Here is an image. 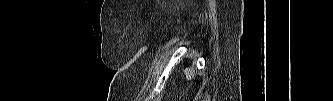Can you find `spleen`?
<instances>
[{"label": "spleen", "mask_w": 333, "mask_h": 101, "mask_svg": "<svg viewBox=\"0 0 333 101\" xmlns=\"http://www.w3.org/2000/svg\"><path fill=\"white\" fill-rule=\"evenodd\" d=\"M184 73H185V76H186V78L187 79H192V78H194V76H195V73H194V70L191 68H186L185 70H184Z\"/></svg>", "instance_id": "1"}]
</instances>
